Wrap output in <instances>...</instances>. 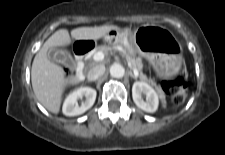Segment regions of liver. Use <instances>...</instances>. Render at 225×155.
<instances>
[{
  "label": "liver",
  "mask_w": 225,
  "mask_h": 155,
  "mask_svg": "<svg viewBox=\"0 0 225 155\" xmlns=\"http://www.w3.org/2000/svg\"><path fill=\"white\" fill-rule=\"evenodd\" d=\"M119 29V27L114 25L80 27L73 29L71 36L77 41H96L110 31ZM70 44L71 38L68 30L60 29L43 44L32 63L31 82L35 96L42 106L54 114H58L60 111L65 89L70 85L78 84L79 81L75 76L66 78L63 68L51 62L47 56V52L51 47L67 46Z\"/></svg>",
  "instance_id": "1"
}]
</instances>
